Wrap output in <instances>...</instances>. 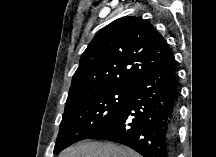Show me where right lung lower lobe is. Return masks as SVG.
Wrapping results in <instances>:
<instances>
[{
	"mask_svg": "<svg viewBox=\"0 0 216 157\" xmlns=\"http://www.w3.org/2000/svg\"><path fill=\"white\" fill-rule=\"evenodd\" d=\"M178 96L175 62L171 56L132 85L126 106L89 139L118 142L143 157H173Z\"/></svg>",
	"mask_w": 216,
	"mask_h": 157,
	"instance_id": "right-lung-lower-lobe-1",
	"label": "right lung lower lobe"
}]
</instances>
